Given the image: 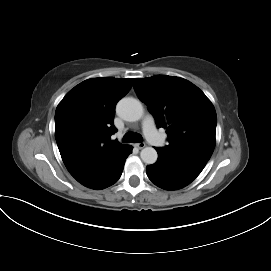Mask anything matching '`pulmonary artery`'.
<instances>
[{
    "instance_id": "obj_1",
    "label": "pulmonary artery",
    "mask_w": 271,
    "mask_h": 271,
    "mask_svg": "<svg viewBox=\"0 0 271 271\" xmlns=\"http://www.w3.org/2000/svg\"><path fill=\"white\" fill-rule=\"evenodd\" d=\"M143 131L146 138L155 145L161 143V137L157 131L154 119L151 116H146L142 123Z\"/></svg>"
}]
</instances>
